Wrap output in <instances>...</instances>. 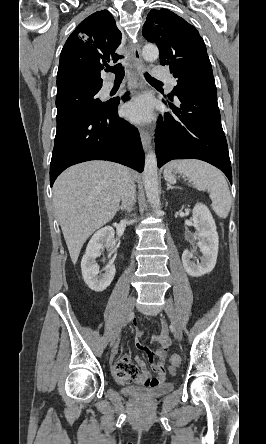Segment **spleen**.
<instances>
[{
  "mask_svg": "<svg viewBox=\"0 0 266 444\" xmlns=\"http://www.w3.org/2000/svg\"><path fill=\"white\" fill-rule=\"evenodd\" d=\"M172 171L189 178L194 188L208 191L212 200V209L220 218H226L231 209V195L225 176L210 164L184 159L169 162L164 169V176L169 182H176Z\"/></svg>",
  "mask_w": 266,
  "mask_h": 444,
  "instance_id": "spleen-1",
  "label": "spleen"
}]
</instances>
